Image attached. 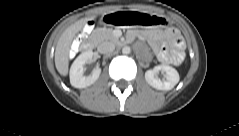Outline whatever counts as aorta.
Segmentation results:
<instances>
[{"mask_svg":"<svg viewBox=\"0 0 239 136\" xmlns=\"http://www.w3.org/2000/svg\"><path fill=\"white\" fill-rule=\"evenodd\" d=\"M130 52H131L130 47L125 46V47L122 48V53L123 54H129Z\"/></svg>","mask_w":239,"mask_h":136,"instance_id":"obj_1","label":"aorta"}]
</instances>
